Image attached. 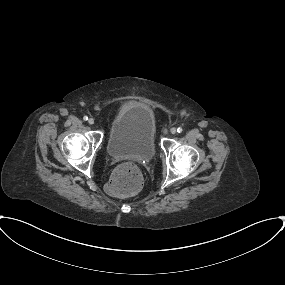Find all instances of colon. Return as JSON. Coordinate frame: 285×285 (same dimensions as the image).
<instances>
[{
  "instance_id": "colon-1",
  "label": "colon",
  "mask_w": 285,
  "mask_h": 285,
  "mask_svg": "<svg viewBox=\"0 0 285 285\" xmlns=\"http://www.w3.org/2000/svg\"><path fill=\"white\" fill-rule=\"evenodd\" d=\"M143 177L140 170L131 164L118 167L107 183L109 193L119 197L132 196L140 191Z\"/></svg>"
}]
</instances>
